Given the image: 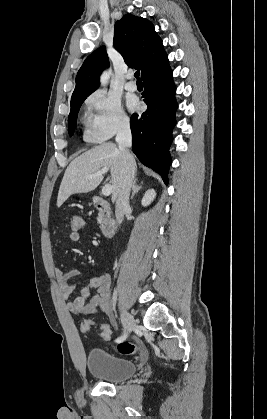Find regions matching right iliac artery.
<instances>
[{"instance_id": "1", "label": "right iliac artery", "mask_w": 267, "mask_h": 419, "mask_svg": "<svg viewBox=\"0 0 267 419\" xmlns=\"http://www.w3.org/2000/svg\"><path fill=\"white\" fill-rule=\"evenodd\" d=\"M126 338H127V334H126V333H124L121 337L117 338V339H116V341H117V342H120V341L125 340Z\"/></svg>"}]
</instances>
